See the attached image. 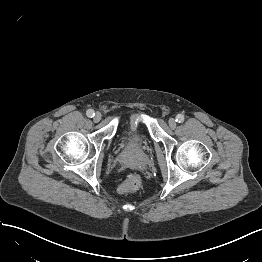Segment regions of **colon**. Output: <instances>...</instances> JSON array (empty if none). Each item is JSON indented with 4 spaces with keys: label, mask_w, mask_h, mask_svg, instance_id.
I'll use <instances>...</instances> for the list:
<instances>
[{
    "label": "colon",
    "mask_w": 262,
    "mask_h": 262,
    "mask_svg": "<svg viewBox=\"0 0 262 262\" xmlns=\"http://www.w3.org/2000/svg\"><path fill=\"white\" fill-rule=\"evenodd\" d=\"M141 186V179L137 174H131L128 176L126 181L118 187L120 194H126L129 192L136 191Z\"/></svg>",
    "instance_id": "obj_1"
}]
</instances>
